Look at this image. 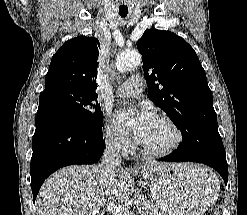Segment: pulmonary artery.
I'll list each match as a JSON object with an SVG mask.
<instances>
[{
	"instance_id": "1",
	"label": "pulmonary artery",
	"mask_w": 247,
	"mask_h": 215,
	"mask_svg": "<svg viewBox=\"0 0 247 215\" xmlns=\"http://www.w3.org/2000/svg\"><path fill=\"white\" fill-rule=\"evenodd\" d=\"M143 79L140 76H131L115 89V93L120 97H136L143 90Z\"/></svg>"
}]
</instances>
